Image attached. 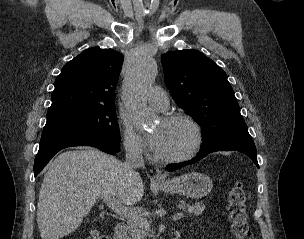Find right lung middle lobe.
<instances>
[{
  "label": "right lung middle lobe",
  "mask_w": 304,
  "mask_h": 239,
  "mask_svg": "<svg viewBox=\"0 0 304 239\" xmlns=\"http://www.w3.org/2000/svg\"><path fill=\"white\" fill-rule=\"evenodd\" d=\"M42 137L87 135L119 143V125L114 105L67 109L48 113Z\"/></svg>",
  "instance_id": "right-lung-middle-lobe-1"
}]
</instances>
